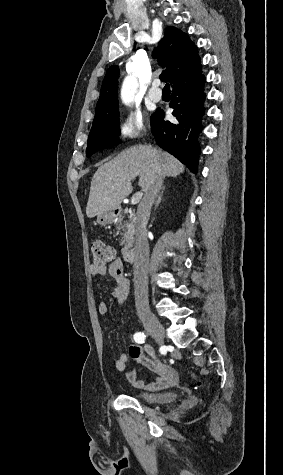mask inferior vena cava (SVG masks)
<instances>
[{"mask_svg": "<svg viewBox=\"0 0 283 475\" xmlns=\"http://www.w3.org/2000/svg\"><path fill=\"white\" fill-rule=\"evenodd\" d=\"M162 182L163 174L161 166H158V170H156L153 178L147 184L144 198L137 210L133 263L135 307L137 313H143V311H149L150 309L148 297L149 243L146 226L150 218L152 204L161 190Z\"/></svg>", "mask_w": 283, "mask_h": 475, "instance_id": "obj_1", "label": "inferior vena cava"}]
</instances>
